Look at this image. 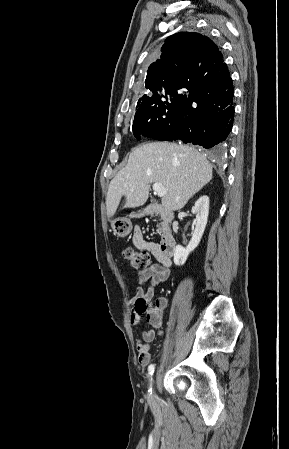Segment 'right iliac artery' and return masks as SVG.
<instances>
[{
	"mask_svg": "<svg viewBox=\"0 0 289 449\" xmlns=\"http://www.w3.org/2000/svg\"><path fill=\"white\" fill-rule=\"evenodd\" d=\"M154 370H155V365H154V364H150L149 367H148V372H149V375H150V376L153 375ZM149 393H150V394L152 393V389H151V388L149 389Z\"/></svg>",
	"mask_w": 289,
	"mask_h": 449,
	"instance_id": "1",
	"label": "right iliac artery"
}]
</instances>
